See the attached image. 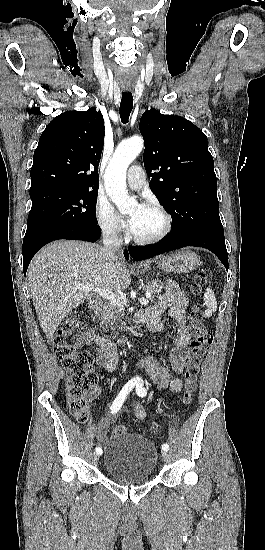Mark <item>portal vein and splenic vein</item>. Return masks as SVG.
<instances>
[{
	"mask_svg": "<svg viewBox=\"0 0 265 550\" xmlns=\"http://www.w3.org/2000/svg\"><path fill=\"white\" fill-rule=\"evenodd\" d=\"M76 289H79L83 292H95V293H98L100 296H102L104 299L108 300L109 302L111 303H114L116 305H119V306H123V305H126L127 303V300L122 297V296H119L113 292H110V291H106V290H101L99 288H94L93 286L91 285H83V284H79L76 286ZM150 295L148 294L147 298H149ZM139 302L141 303V305H148L149 301L148 299H145V298H142L139 300Z\"/></svg>",
	"mask_w": 265,
	"mask_h": 550,
	"instance_id": "1",
	"label": "portal vein and splenic vein"
}]
</instances>
